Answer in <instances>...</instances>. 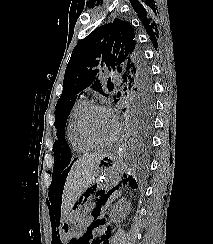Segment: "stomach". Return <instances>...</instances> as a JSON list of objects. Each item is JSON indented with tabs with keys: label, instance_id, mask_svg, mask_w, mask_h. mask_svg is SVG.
<instances>
[{
	"label": "stomach",
	"instance_id": "1",
	"mask_svg": "<svg viewBox=\"0 0 213 244\" xmlns=\"http://www.w3.org/2000/svg\"><path fill=\"white\" fill-rule=\"evenodd\" d=\"M122 165L118 159L111 153H107L101 160L98 169L94 175L92 184L84 191L83 197L95 192L103 186H112L120 178ZM82 197L70 209L68 215L60 225V234L62 237H71L81 232L83 226L84 214L80 206Z\"/></svg>",
	"mask_w": 213,
	"mask_h": 244
}]
</instances>
